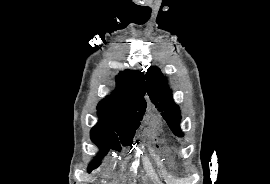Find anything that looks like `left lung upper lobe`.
I'll return each mask as SVG.
<instances>
[{
	"instance_id": "obj_1",
	"label": "left lung upper lobe",
	"mask_w": 270,
	"mask_h": 184,
	"mask_svg": "<svg viewBox=\"0 0 270 184\" xmlns=\"http://www.w3.org/2000/svg\"><path fill=\"white\" fill-rule=\"evenodd\" d=\"M146 91L151 102L155 105L174 134L182 136V131L179 127L181 115L179 107L174 103L171 92L169 91L166 82L167 79L163 76L158 67H151L147 70Z\"/></svg>"
}]
</instances>
